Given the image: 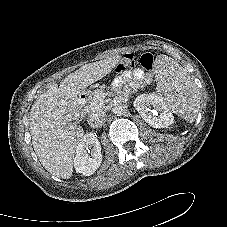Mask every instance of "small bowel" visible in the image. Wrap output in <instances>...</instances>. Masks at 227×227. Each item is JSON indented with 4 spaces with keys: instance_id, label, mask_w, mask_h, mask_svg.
<instances>
[{
    "instance_id": "small-bowel-1",
    "label": "small bowel",
    "mask_w": 227,
    "mask_h": 227,
    "mask_svg": "<svg viewBox=\"0 0 227 227\" xmlns=\"http://www.w3.org/2000/svg\"><path fill=\"white\" fill-rule=\"evenodd\" d=\"M135 79L134 82L130 81V75L126 74L119 79L120 83H129L131 88H137L141 85L148 84L150 82L149 76H147L142 70L137 69L132 74Z\"/></svg>"
}]
</instances>
